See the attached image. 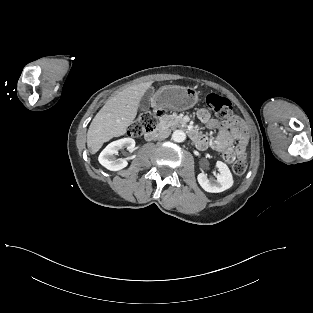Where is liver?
I'll return each instance as SVG.
<instances>
[{
    "label": "liver",
    "instance_id": "1",
    "mask_svg": "<svg viewBox=\"0 0 313 313\" xmlns=\"http://www.w3.org/2000/svg\"><path fill=\"white\" fill-rule=\"evenodd\" d=\"M152 82L131 86L109 99L93 118L87 132V146L95 154L102 145L126 133L133 123L139 103Z\"/></svg>",
    "mask_w": 313,
    "mask_h": 313
}]
</instances>
